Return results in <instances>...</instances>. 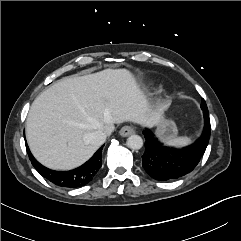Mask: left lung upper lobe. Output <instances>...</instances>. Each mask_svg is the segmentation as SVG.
<instances>
[{"label":"left lung upper lobe","instance_id":"5c2ea615","mask_svg":"<svg viewBox=\"0 0 241 241\" xmlns=\"http://www.w3.org/2000/svg\"><path fill=\"white\" fill-rule=\"evenodd\" d=\"M201 108L203 110V113L208 112V108H207V105H206L204 99H202V101H201Z\"/></svg>","mask_w":241,"mask_h":241}]
</instances>
